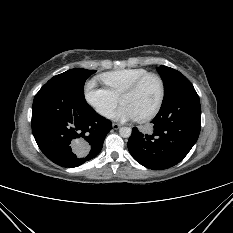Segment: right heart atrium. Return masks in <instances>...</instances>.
<instances>
[{
  "label": "right heart atrium",
  "instance_id": "1",
  "mask_svg": "<svg viewBox=\"0 0 233 233\" xmlns=\"http://www.w3.org/2000/svg\"><path fill=\"white\" fill-rule=\"evenodd\" d=\"M86 102L101 116L108 117L118 103V97L108 88L99 87L95 80L84 86Z\"/></svg>",
  "mask_w": 233,
  "mask_h": 233
}]
</instances>
